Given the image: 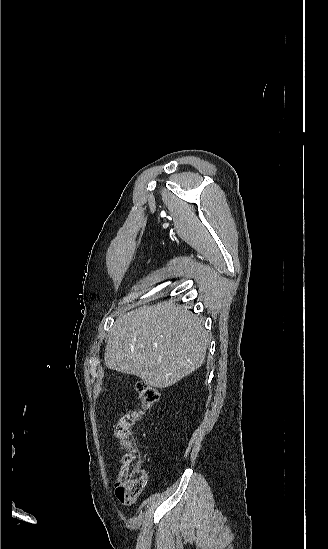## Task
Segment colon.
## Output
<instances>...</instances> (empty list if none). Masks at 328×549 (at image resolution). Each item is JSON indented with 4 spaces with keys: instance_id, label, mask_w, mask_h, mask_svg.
I'll return each mask as SVG.
<instances>
[{
    "instance_id": "obj_1",
    "label": "colon",
    "mask_w": 328,
    "mask_h": 549,
    "mask_svg": "<svg viewBox=\"0 0 328 549\" xmlns=\"http://www.w3.org/2000/svg\"><path fill=\"white\" fill-rule=\"evenodd\" d=\"M134 388L139 394L142 410H135L122 416L116 434L125 448L120 463L116 487V496L122 503H133L142 494L147 484V473L141 468L136 457V449L131 440L132 428L140 418L142 411L151 408L159 400V391L143 382H135Z\"/></svg>"
}]
</instances>
